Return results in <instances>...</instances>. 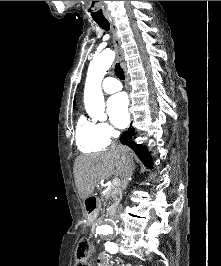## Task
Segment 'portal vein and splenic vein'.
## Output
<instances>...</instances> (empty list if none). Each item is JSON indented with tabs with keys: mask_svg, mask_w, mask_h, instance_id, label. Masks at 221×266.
<instances>
[{
	"mask_svg": "<svg viewBox=\"0 0 221 266\" xmlns=\"http://www.w3.org/2000/svg\"><path fill=\"white\" fill-rule=\"evenodd\" d=\"M119 184H120V179H118L117 177L114 178V179L112 180V182H111V186H112V187H118Z\"/></svg>",
	"mask_w": 221,
	"mask_h": 266,
	"instance_id": "1",
	"label": "portal vein and splenic vein"
}]
</instances>
